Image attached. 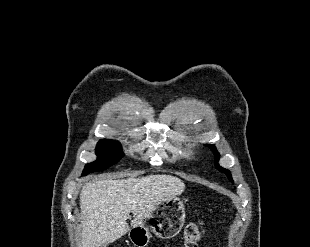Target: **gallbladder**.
Masks as SVG:
<instances>
[{
	"instance_id": "1",
	"label": "gallbladder",
	"mask_w": 310,
	"mask_h": 247,
	"mask_svg": "<svg viewBox=\"0 0 310 247\" xmlns=\"http://www.w3.org/2000/svg\"><path fill=\"white\" fill-rule=\"evenodd\" d=\"M98 247H106L105 244H100Z\"/></svg>"
}]
</instances>
